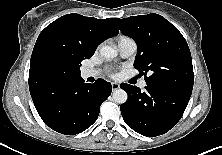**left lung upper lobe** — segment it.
<instances>
[{
  "instance_id": "obj_1",
  "label": "left lung upper lobe",
  "mask_w": 222,
  "mask_h": 155,
  "mask_svg": "<svg viewBox=\"0 0 222 155\" xmlns=\"http://www.w3.org/2000/svg\"><path fill=\"white\" fill-rule=\"evenodd\" d=\"M120 31L135 40L134 67L145 76L147 85L191 96L194 74L185 38L158 14L115 19ZM150 72L151 75L146 77Z\"/></svg>"
}]
</instances>
